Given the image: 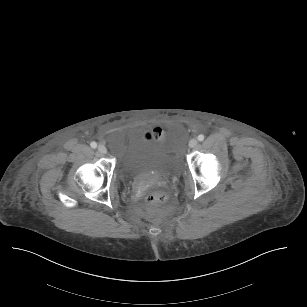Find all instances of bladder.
Listing matches in <instances>:
<instances>
[{
  "label": "bladder",
  "instance_id": "1",
  "mask_svg": "<svg viewBox=\"0 0 307 307\" xmlns=\"http://www.w3.org/2000/svg\"><path fill=\"white\" fill-rule=\"evenodd\" d=\"M159 167L176 172L177 158L170 148L150 141L129 146L119 156V173L126 180L143 179Z\"/></svg>",
  "mask_w": 307,
  "mask_h": 307
}]
</instances>
